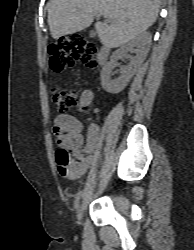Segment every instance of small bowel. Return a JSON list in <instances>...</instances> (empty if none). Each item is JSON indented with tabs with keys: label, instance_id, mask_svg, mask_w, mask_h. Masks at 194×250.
I'll use <instances>...</instances> for the list:
<instances>
[{
	"label": "small bowel",
	"instance_id": "c3829d8e",
	"mask_svg": "<svg viewBox=\"0 0 194 250\" xmlns=\"http://www.w3.org/2000/svg\"><path fill=\"white\" fill-rule=\"evenodd\" d=\"M93 97L92 91L85 89L81 93L80 101L82 104L89 105ZM53 134L57 144L62 149L68 150L73 157L66 169L58 166L59 173L71 180L81 177L90 167L92 153L99 141L98 125L89 126L85 139L82 122L70 114H60L55 119Z\"/></svg>",
	"mask_w": 194,
	"mask_h": 250
}]
</instances>
